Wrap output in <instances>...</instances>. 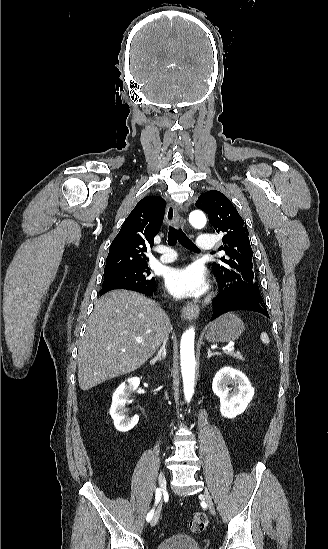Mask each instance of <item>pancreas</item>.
<instances>
[{"label":"pancreas","mask_w":328,"mask_h":549,"mask_svg":"<svg viewBox=\"0 0 328 549\" xmlns=\"http://www.w3.org/2000/svg\"><path fill=\"white\" fill-rule=\"evenodd\" d=\"M227 355H230V357H234V359H239V361H245L242 353H239V351H232V353H227Z\"/></svg>","instance_id":"1"}]
</instances>
